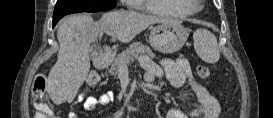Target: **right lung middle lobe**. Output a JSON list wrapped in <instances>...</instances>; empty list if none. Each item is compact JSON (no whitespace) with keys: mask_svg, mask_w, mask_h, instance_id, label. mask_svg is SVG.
Segmentation results:
<instances>
[{"mask_svg":"<svg viewBox=\"0 0 273 118\" xmlns=\"http://www.w3.org/2000/svg\"><path fill=\"white\" fill-rule=\"evenodd\" d=\"M115 6V0H58L54 11L100 12Z\"/></svg>","mask_w":273,"mask_h":118,"instance_id":"1","label":"right lung middle lobe"}]
</instances>
